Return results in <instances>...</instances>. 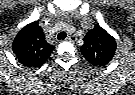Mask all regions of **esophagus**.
Returning <instances> with one entry per match:
<instances>
[{"instance_id": "34e87169", "label": "esophagus", "mask_w": 135, "mask_h": 95, "mask_svg": "<svg viewBox=\"0 0 135 95\" xmlns=\"http://www.w3.org/2000/svg\"><path fill=\"white\" fill-rule=\"evenodd\" d=\"M76 36L75 35H71V36H68L65 40L66 41H70V42H74L76 40Z\"/></svg>"}]
</instances>
